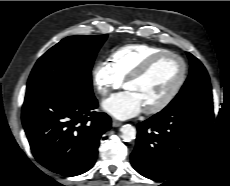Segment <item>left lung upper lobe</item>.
<instances>
[{
    "instance_id": "obj_1",
    "label": "left lung upper lobe",
    "mask_w": 230,
    "mask_h": 186,
    "mask_svg": "<svg viewBox=\"0 0 230 186\" xmlns=\"http://www.w3.org/2000/svg\"><path fill=\"white\" fill-rule=\"evenodd\" d=\"M190 59V75L177 96L165 109H174L186 103L202 101L212 98V89L208 73L203 64L192 54Z\"/></svg>"
}]
</instances>
